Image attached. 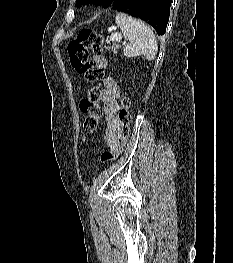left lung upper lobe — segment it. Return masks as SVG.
<instances>
[{"instance_id":"obj_1","label":"left lung upper lobe","mask_w":233,"mask_h":263,"mask_svg":"<svg viewBox=\"0 0 233 263\" xmlns=\"http://www.w3.org/2000/svg\"><path fill=\"white\" fill-rule=\"evenodd\" d=\"M115 0H77L76 5L80 6L81 4L95 2L97 4H102L104 8L109 7Z\"/></svg>"}]
</instances>
